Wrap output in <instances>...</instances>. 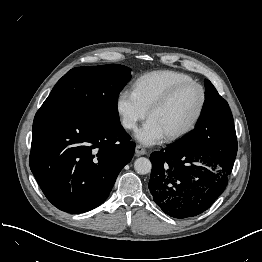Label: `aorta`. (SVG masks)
Wrapping results in <instances>:
<instances>
[{"instance_id":"762f6f07","label":"aorta","mask_w":262,"mask_h":262,"mask_svg":"<svg viewBox=\"0 0 262 262\" xmlns=\"http://www.w3.org/2000/svg\"><path fill=\"white\" fill-rule=\"evenodd\" d=\"M152 164L145 157L137 158L134 162V169L138 174L145 175L151 171Z\"/></svg>"}]
</instances>
